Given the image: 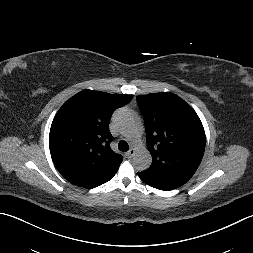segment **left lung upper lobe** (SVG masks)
Wrapping results in <instances>:
<instances>
[{
    "mask_svg": "<svg viewBox=\"0 0 253 253\" xmlns=\"http://www.w3.org/2000/svg\"><path fill=\"white\" fill-rule=\"evenodd\" d=\"M152 165L143 175L185 184L197 170L205 150L203 125L178 95L169 92L138 95Z\"/></svg>",
    "mask_w": 253,
    "mask_h": 253,
    "instance_id": "left-lung-upper-lobe-1",
    "label": "left lung upper lobe"
}]
</instances>
